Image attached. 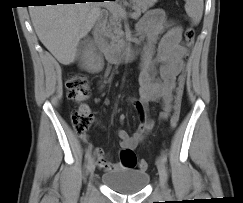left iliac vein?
<instances>
[{"label": "left iliac vein", "instance_id": "1", "mask_svg": "<svg viewBox=\"0 0 243 203\" xmlns=\"http://www.w3.org/2000/svg\"><path fill=\"white\" fill-rule=\"evenodd\" d=\"M156 165L159 173V180L162 187V191L163 193H168L167 173H166L165 163L162 161L161 158H158L156 161Z\"/></svg>", "mask_w": 243, "mask_h": 203}]
</instances>
